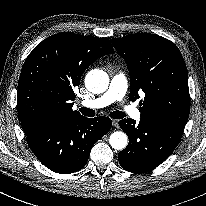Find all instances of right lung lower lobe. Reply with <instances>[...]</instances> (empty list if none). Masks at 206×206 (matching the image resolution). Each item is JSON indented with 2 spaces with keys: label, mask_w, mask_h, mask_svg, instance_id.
<instances>
[{
  "label": "right lung lower lobe",
  "mask_w": 206,
  "mask_h": 206,
  "mask_svg": "<svg viewBox=\"0 0 206 206\" xmlns=\"http://www.w3.org/2000/svg\"><path fill=\"white\" fill-rule=\"evenodd\" d=\"M108 117H80L27 135L35 156L50 170L70 174L87 163L92 146L111 128Z\"/></svg>",
  "instance_id": "1"
}]
</instances>
